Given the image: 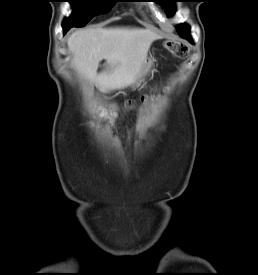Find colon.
Returning <instances> with one entry per match:
<instances>
[{
	"label": "colon",
	"instance_id": "5ec220e1",
	"mask_svg": "<svg viewBox=\"0 0 258 275\" xmlns=\"http://www.w3.org/2000/svg\"><path fill=\"white\" fill-rule=\"evenodd\" d=\"M164 47L177 58H183L189 53V47L181 41L168 40L164 43Z\"/></svg>",
	"mask_w": 258,
	"mask_h": 275
}]
</instances>
